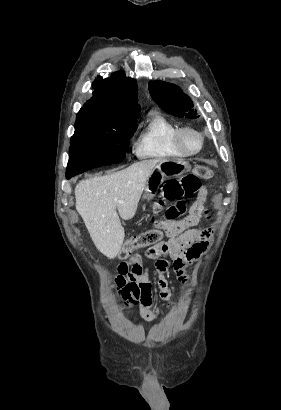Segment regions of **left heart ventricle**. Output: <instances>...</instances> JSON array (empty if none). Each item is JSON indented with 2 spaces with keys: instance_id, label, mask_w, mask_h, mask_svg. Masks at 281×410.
I'll use <instances>...</instances> for the list:
<instances>
[{
  "instance_id": "b2bd125f",
  "label": "left heart ventricle",
  "mask_w": 281,
  "mask_h": 410,
  "mask_svg": "<svg viewBox=\"0 0 281 410\" xmlns=\"http://www.w3.org/2000/svg\"><path fill=\"white\" fill-rule=\"evenodd\" d=\"M186 144L190 149H195L199 145V139L194 134H188L186 136Z\"/></svg>"
}]
</instances>
